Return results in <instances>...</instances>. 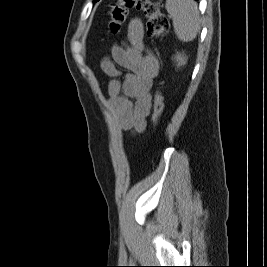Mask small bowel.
Listing matches in <instances>:
<instances>
[{"label":"small bowel","mask_w":267,"mask_h":267,"mask_svg":"<svg viewBox=\"0 0 267 267\" xmlns=\"http://www.w3.org/2000/svg\"><path fill=\"white\" fill-rule=\"evenodd\" d=\"M101 69L111 77L108 83V106L121 129L143 132L152 106L151 88L159 73V61L147 48L141 19L130 21L127 43L115 45L111 57L101 61ZM120 68L129 72L123 80Z\"/></svg>","instance_id":"small-bowel-1"}]
</instances>
